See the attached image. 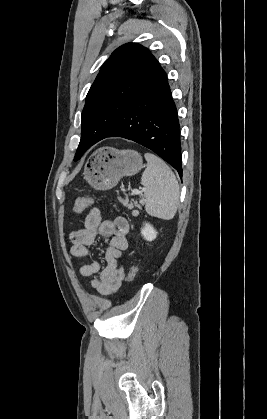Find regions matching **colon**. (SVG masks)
I'll return each instance as SVG.
<instances>
[{"label": "colon", "instance_id": "1", "mask_svg": "<svg viewBox=\"0 0 267 419\" xmlns=\"http://www.w3.org/2000/svg\"><path fill=\"white\" fill-rule=\"evenodd\" d=\"M94 203V198L87 197V198H79L76 200L74 207H73V213L80 214L85 211V209L89 206H91ZM138 268L136 265H133L127 275V281L132 282L136 275H137Z\"/></svg>", "mask_w": 267, "mask_h": 419}]
</instances>
